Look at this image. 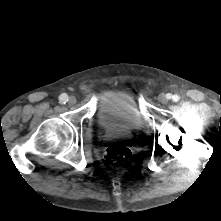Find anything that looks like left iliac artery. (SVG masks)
<instances>
[{
	"label": "left iliac artery",
	"instance_id": "44dca946",
	"mask_svg": "<svg viewBox=\"0 0 221 221\" xmlns=\"http://www.w3.org/2000/svg\"><path fill=\"white\" fill-rule=\"evenodd\" d=\"M171 97H172L173 101H175V102L179 101V99H180V97L178 95L169 96V94H167L168 99Z\"/></svg>",
	"mask_w": 221,
	"mask_h": 221
}]
</instances>
